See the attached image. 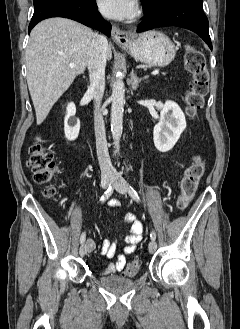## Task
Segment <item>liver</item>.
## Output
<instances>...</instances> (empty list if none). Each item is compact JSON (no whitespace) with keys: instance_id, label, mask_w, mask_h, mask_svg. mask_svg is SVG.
I'll return each mask as SVG.
<instances>
[{"instance_id":"liver-1","label":"liver","mask_w":240,"mask_h":329,"mask_svg":"<svg viewBox=\"0 0 240 329\" xmlns=\"http://www.w3.org/2000/svg\"><path fill=\"white\" fill-rule=\"evenodd\" d=\"M93 31L75 21L56 18L37 24L26 48L27 84L36 112V123L46 119L51 108L84 73ZM112 58L107 48V59ZM75 64L74 68L69 66Z\"/></svg>"}]
</instances>
